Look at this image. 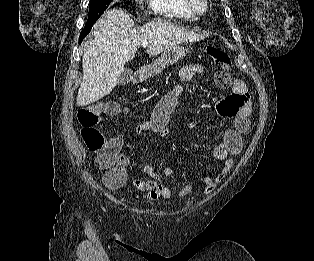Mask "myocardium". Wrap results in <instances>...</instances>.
Masks as SVG:
<instances>
[{"label": "myocardium", "instance_id": "1", "mask_svg": "<svg viewBox=\"0 0 314 261\" xmlns=\"http://www.w3.org/2000/svg\"><path fill=\"white\" fill-rule=\"evenodd\" d=\"M186 7L196 15H202L208 10V0H184Z\"/></svg>", "mask_w": 314, "mask_h": 261}]
</instances>
